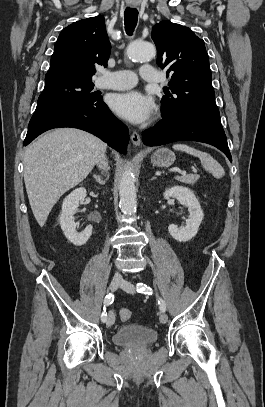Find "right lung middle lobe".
<instances>
[{
    "label": "right lung middle lobe",
    "instance_id": "1",
    "mask_svg": "<svg viewBox=\"0 0 265 407\" xmlns=\"http://www.w3.org/2000/svg\"><path fill=\"white\" fill-rule=\"evenodd\" d=\"M92 81L58 79L45 82L32 118L66 108L90 105L100 100Z\"/></svg>",
    "mask_w": 265,
    "mask_h": 407
}]
</instances>
